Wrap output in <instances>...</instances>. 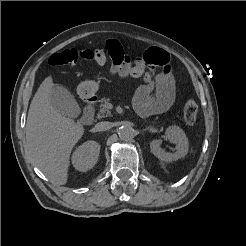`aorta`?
<instances>
[{"mask_svg": "<svg viewBox=\"0 0 246 246\" xmlns=\"http://www.w3.org/2000/svg\"><path fill=\"white\" fill-rule=\"evenodd\" d=\"M119 137L123 141H129L134 138V129L130 125H123L118 131Z\"/></svg>", "mask_w": 246, "mask_h": 246, "instance_id": "aorta-1", "label": "aorta"}]
</instances>
